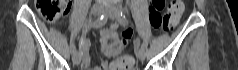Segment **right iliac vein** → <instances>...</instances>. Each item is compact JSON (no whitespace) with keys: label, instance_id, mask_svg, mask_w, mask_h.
<instances>
[{"label":"right iliac vein","instance_id":"right-iliac-vein-1","mask_svg":"<svg viewBox=\"0 0 238 70\" xmlns=\"http://www.w3.org/2000/svg\"><path fill=\"white\" fill-rule=\"evenodd\" d=\"M102 10H103V8L100 5L94 4L91 7V15L98 16L102 12ZM72 60H73L74 64L79 65L82 60V56L80 55L79 52H76L75 54H73Z\"/></svg>","mask_w":238,"mask_h":70}]
</instances>
